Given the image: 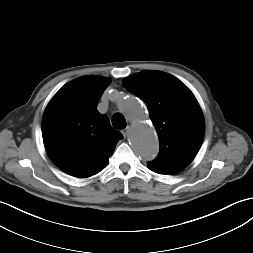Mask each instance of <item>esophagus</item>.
Instances as JSON below:
<instances>
[{
	"label": "esophagus",
	"instance_id": "34e87169",
	"mask_svg": "<svg viewBox=\"0 0 253 253\" xmlns=\"http://www.w3.org/2000/svg\"><path fill=\"white\" fill-rule=\"evenodd\" d=\"M129 131H130V127H129V126H128V127H126V128L122 131V133H123L124 137H127V135H128V133H129Z\"/></svg>",
	"mask_w": 253,
	"mask_h": 253
}]
</instances>
